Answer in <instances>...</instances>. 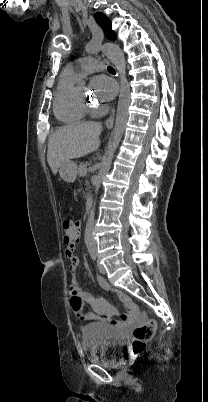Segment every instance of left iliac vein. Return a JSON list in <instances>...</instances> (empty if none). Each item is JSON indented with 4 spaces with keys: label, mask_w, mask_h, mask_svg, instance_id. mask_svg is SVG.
I'll return each mask as SVG.
<instances>
[{
    "label": "left iliac vein",
    "mask_w": 208,
    "mask_h": 402,
    "mask_svg": "<svg viewBox=\"0 0 208 402\" xmlns=\"http://www.w3.org/2000/svg\"><path fill=\"white\" fill-rule=\"evenodd\" d=\"M97 267H98V271L101 273V274H105V268H104V266L98 261L97 262Z\"/></svg>",
    "instance_id": "1"
}]
</instances>
